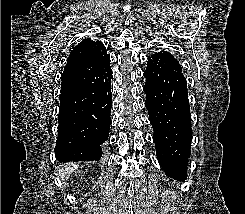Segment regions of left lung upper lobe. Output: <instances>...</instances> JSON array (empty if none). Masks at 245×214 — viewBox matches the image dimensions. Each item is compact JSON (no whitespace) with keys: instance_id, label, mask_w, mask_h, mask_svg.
I'll use <instances>...</instances> for the list:
<instances>
[{"instance_id":"5c2ea615","label":"left lung upper lobe","mask_w":245,"mask_h":214,"mask_svg":"<svg viewBox=\"0 0 245 214\" xmlns=\"http://www.w3.org/2000/svg\"><path fill=\"white\" fill-rule=\"evenodd\" d=\"M148 64H155L164 69H169L177 72H181V65L179 62L168 52L155 53L148 58Z\"/></svg>"}]
</instances>
